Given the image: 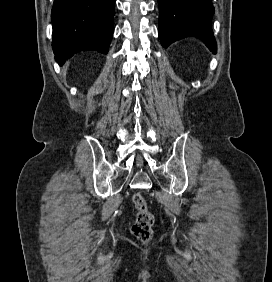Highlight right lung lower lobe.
<instances>
[{
  "label": "right lung lower lobe",
  "instance_id": "98d812e1",
  "mask_svg": "<svg viewBox=\"0 0 272 282\" xmlns=\"http://www.w3.org/2000/svg\"><path fill=\"white\" fill-rule=\"evenodd\" d=\"M114 6L115 0H54L52 47L60 65L80 51L108 53Z\"/></svg>",
  "mask_w": 272,
  "mask_h": 282
}]
</instances>
